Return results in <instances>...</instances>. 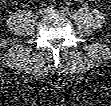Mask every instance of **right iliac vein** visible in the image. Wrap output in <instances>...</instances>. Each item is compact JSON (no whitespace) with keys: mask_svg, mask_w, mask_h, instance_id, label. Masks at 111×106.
I'll list each match as a JSON object with an SVG mask.
<instances>
[{"mask_svg":"<svg viewBox=\"0 0 111 106\" xmlns=\"http://www.w3.org/2000/svg\"><path fill=\"white\" fill-rule=\"evenodd\" d=\"M49 11L46 8H42L39 10L38 15L39 16H44L48 13Z\"/></svg>","mask_w":111,"mask_h":106,"instance_id":"63e3f726","label":"right iliac vein"}]
</instances>
